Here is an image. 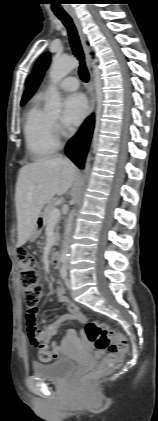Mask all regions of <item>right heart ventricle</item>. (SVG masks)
Here are the masks:
<instances>
[{
  "mask_svg": "<svg viewBox=\"0 0 158 421\" xmlns=\"http://www.w3.org/2000/svg\"><path fill=\"white\" fill-rule=\"evenodd\" d=\"M43 98L40 94L34 98L24 123L26 148L35 160L53 154L59 145L52 118L42 107Z\"/></svg>",
  "mask_w": 158,
  "mask_h": 421,
  "instance_id": "1",
  "label": "right heart ventricle"
}]
</instances>
